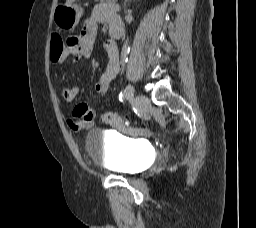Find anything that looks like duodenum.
I'll return each instance as SVG.
<instances>
[{"label": "duodenum", "instance_id": "1", "mask_svg": "<svg viewBox=\"0 0 256 228\" xmlns=\"http://www.w3.org/2000/svg\"><path fill=\"white\" fill-rule=\"evenodd\" d=\"M110 35L113 39H119L121 38L123 34V25L122 23H115L113 24L110 29Z\"/></svg>", "mask_w": 256, "mask_h": 228}]
</instances>
